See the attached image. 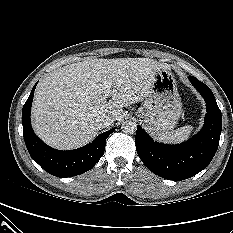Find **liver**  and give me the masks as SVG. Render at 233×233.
Returning <instances> with one entry per match:
<instances>
[{"mask_svg": "<svg viewBox=\"0 0 233 233\" xmlns=\"http://www.w3.org/2000/svg\"><path fill=\"white\" fill-rule=\"evenodd\" d=\"M166 64L149 58H87L42 79L35 91L32 123L36 134L58 149L91 142L99 132L96 119L105 114L121 120L123 107L149 96L155 75ZM112 81L104 98V81Z\"/></svg>", "mask_w": 233, "mask_h": 233, "instance_id": "obj_1", "label": "liver"}]
</instances>
